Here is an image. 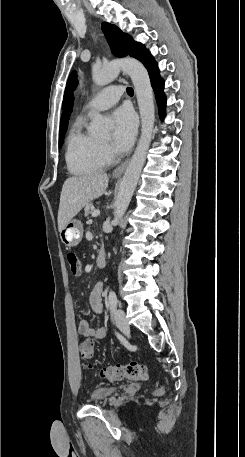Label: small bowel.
<instances>
[{
    "label": "small bowel",
    "instance_id": "1",
    "mask_svg": "<svg viewBox=\"0 0 245 457\" xmlns=\"http://www.w3.org/2000/svg\"><path fill=\"white\" fill-rule=\"evenodd\" d=\"M103 282L99 281L92 289L89 296V304L92 311L96 314L103 312L102 303ZM78 332L86 338L93 340H102L106 337V329L101 327L94 329L90 326L87 319H81L78 323Z\"/></svg>",
    "mask_w": 245,
    "mask_h": 457
}]
</instances>
